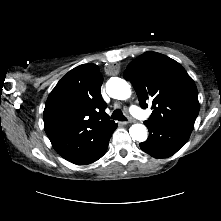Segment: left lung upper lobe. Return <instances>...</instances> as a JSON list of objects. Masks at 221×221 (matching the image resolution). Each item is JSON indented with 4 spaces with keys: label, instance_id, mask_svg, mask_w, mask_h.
Masks as SVG:
<instances>
[{
    "label": "left lung upper lobe",
    "instance_id": "left-lung-upper-lobe-1",
    "mask_svg": "<svg viewBox=\"0 0 221 221\" xmlns=\"http://www.w3.org/2000/svg\"><path fill=\"white\" fill-rule=\"evenodd\" d=\"M123 77L132 83L143 109L152 104L148 121L193 127L199 113L198 92L178 62L148 51L129 63Z\"/></svg>",
    "mask_w": 221,
    "mask_h": 221
}]
</instances>
